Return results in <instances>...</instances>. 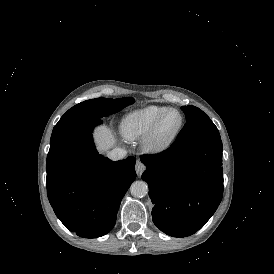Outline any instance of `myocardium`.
<instances>
[{"label": "myocardium", "mask_w": 274, "mask_h": 274, "mask_svg": "<svg viewBox=\"0 0 274 274\" xmlns=\"http://www.w3.org/2000/svg\"><path fill=\"white\" fill-rule=\"evenodd\" d=\"M177 112L181 116V124L178 129L169 134L168 136H161V129L166 118L171 114ZM186 123L185 114L177 108H169L167 109L160 119L156 122V124L144 135L141 141L142 149L145 153L150 155H156L163 153L166 151L174 140L180 135L183 131Z\"/></svg>", "instance_id": "myocardium-1"}]
</instances>
